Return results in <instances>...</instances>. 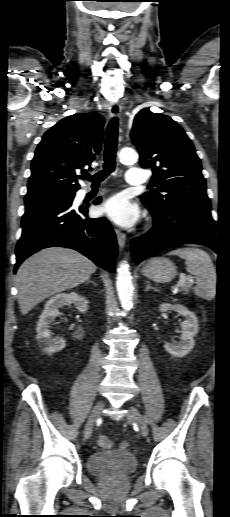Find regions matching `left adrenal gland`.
Instances as JSON below:
<instances>
[{
  "mask_svg": "<svg viewBox=\"0 0 230 517\" xmlns=\"http://www.w3.org/2000/svg\"><path fill=\"white\" fill-rule=\"evenodd\" d=\"M146 284H147V285H146V288H145V292L149 291L150 289L155 290V288L151 287V285H150V282H149V281H147V282H146Z\"/></svg>",
  "mask_w": 230,
  "mask_h": 517,
  "instance_id": "obj_1",
  "label": "left adrenal gland"
}]
</instances>
